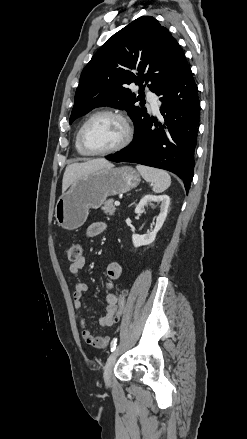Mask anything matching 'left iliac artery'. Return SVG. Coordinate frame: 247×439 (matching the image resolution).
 <instances>
[{
	"mask_svg": "<svg viewBox=\"0 0 247 439\" xmlns=\"http://www.w3.org/2000/svg\"><path fill=\"white\" fill-rule=\"evenodd\" d=\"M116 344H117V338H114V339L112 340V342H111V345H110V347H111V351H114V350H115V348H116Z\"/></svg>",
	"mask_w": 247,
	"mask_h": 439,
	"instance_id": "left-iliac-artery-1",
	"label": "left iliac artery"
}]
</instances>
